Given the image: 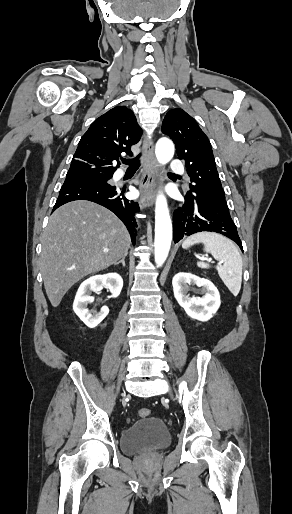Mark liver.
I'll return each mask as SVG.
<instances>
[{"label": "liver", "instance_id": "1", "mask_svg": "<svg viewBox=\"0 0 292 514\" xmlns=\"http://www.w3.org/2000/svg\"><path fill=\"white\" fill-rule=\"evenodd\" d=\"M41 244L40 272L46 294L57 308L71 286L84 276L105 270L127 256L131 238L110 210L76 200L50 216Z\"/></svg>", "mask_w": 292, "mask_h": 514}]
</instances>
